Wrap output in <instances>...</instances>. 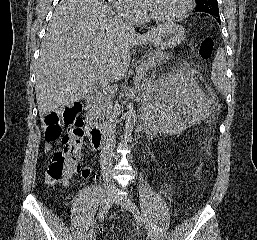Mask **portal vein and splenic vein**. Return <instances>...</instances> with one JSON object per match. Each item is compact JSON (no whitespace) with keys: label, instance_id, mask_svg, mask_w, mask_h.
<instances>
[{"label":"portal vein and splenic vein","instance_id":"portal-vein-and-splenic-vein-1","mask_svg":"<svg viewBox=\"0 0 257 240\" xmlns=\"http://www.w3.org/2000/svg\"><path fill=\"white\" fill-rule=\"evenodd\" d=\"M138 81H139V79H137V76H136L135 79H134V82H135V83H138ZM102 85H103V86H107V83H102Z\"/></svg>","mask_w":257,"mask_h":240}]
</instances>
